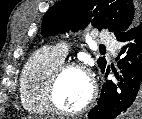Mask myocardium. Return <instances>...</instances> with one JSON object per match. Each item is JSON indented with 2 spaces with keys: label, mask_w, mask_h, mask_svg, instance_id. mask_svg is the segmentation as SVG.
I'll return each instance as SVG.
<instances>
[{
  "label": "myocardium",
  "mask_w": 142,
  "mask_h": 119,
  "mask_svg": "<svg viewBox=\"0 0 142 119\" xmlns=\"http://www.w3.org/2000/svg\"><path fill=\"white\" fill-rule=\"evenodd\" d=\"M71 70L82 72L88 79L89 83V96L87 100L79 108L74 110H66L62 108L56 100V92L62 77ZM97 96V86L91 71L83 64L76 62H63L59 65L51 75L45 90V98L50 111L63 116H76L84 113L95 102Z\"/></svg>",
  "instance_id": "myocardium-1"
}]
</instances>
